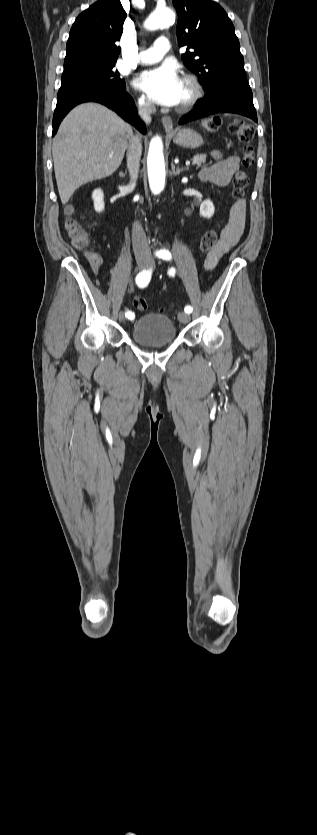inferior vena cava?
Returning a JSON list of instances; mask_svg holds the SVG:
<instances>
[{
  "mask_svg": "<svg viewBox=\"0 0 317 835\" xmlns=\"http://www.w3.org/2000/svg\"><path fill=\"white\" fill-rule=\"evenodd\" d=\"M156 112L155 105L150 101H142L138 105V113L141 119L146 123H151V114ZM142 154V143L140 138L136 135L131 138L127 146V168L131 177L129 183L130 188L135 187V181L138 176L140 158ZM132 242L136 258L149 259L151 251L146 239L145 232L139 222H134L132 228Z\"/></svg>",
  "mask_w": 317,
  "mask_h": 835,
  "instance_id": "inferior-vena-cava-1",
  "label": "inferior vena cava"
}]
</instances>
